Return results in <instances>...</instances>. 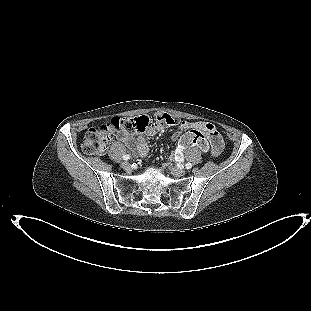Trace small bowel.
I'll list each match as a JSON object with an SVG mask.
<instances>
[{"instance_id": "small-bowel-1", "label": "small bowel", "mask_w": 311, "mask_h": 311, "mask_svg": "<svg viewBox=\"0 0 311 311\" xmlns=\"http://www.w3.org/2000/svg\"><path fill=\"white\" fill-rule=\"evenodd\" d=\"M187 128H194V129H199L201 131H203L209 141H210V147H209V153L212 156H219L223 150V140L222 137L220 135V133L217 131L216 127L209 122H184L183 125L180 126V129H187ZM163 128L160 127L159 125L154 126L149 128L144 134H142L139 138L137 139H133L132 137H130L128 134L126 133H121L118 136V139L125 143L126 146L128 147V149L130 150V152L134 155H138V156H146L148 153V145L146 142V137H151L156 135L158 132L162 131ZM181 134L180 132H175L172 135V139L173 141H181L182 139H180ZM184 148H177L176 149V155L177 156H181L182 152H183Z\"/></svg>"}]
</instances>
